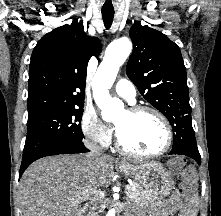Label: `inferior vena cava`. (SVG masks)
<instances>
[{
  "label": "inferior vena cava",
  "instance_id": "obj_1",
  "mask_svg": "<svg viewBox=\"0 0 221 216\" xmlns=\"http://www.w3.org/2000/svg\"><path fill=\"white\" fill-rule=\"evenodd\" d=\"M85 145L90 150V152L87 154L90 159L94 160L95 158L102 155L103 149L99 145H97V143L86 141ZM96 214L97 213L94 210L91 211V216H96Z\"/></svg>",
  "mask_w": 221,
  "mask_h": 216
}]
</instances>
